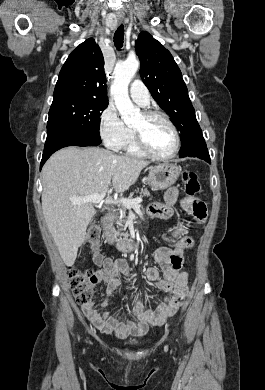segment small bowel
<instances>
[{
	"mask_svg": "<svg viewBox=\"0 0 265 390\" xmlns=\"http://www.w3.org/2000/svg\"><path fill=\"white\" fill-rule=\"evenodd\" d=\"M180 207L196 221L203 222L207 216L204 202L195 197H179V192L172 187L165 193V203H154L149 206L148 213L156 218L167 219L174 213V206ZM187 225L182 224L174 228L173 236L177 241L164 236L168 246L159 247L154 253V261L160 266H151L146 270L147 278L154 287L165 292L167 296L158 299L154 307L147 308L141 298L132 306L134 319H127L120 314L101 312L91 302L82 306L84 315L103 333L126 337L130 334L141 335L150 327L163 324L167 318L176 313L188 293L189 273L182 270L184 252L194 245V240L186 236ZM101 268L96 273L97 289L105 288V298L101 307L105 309L109 304L110 296L121 286V276L131 274V268L126 260L110 256H99L95 261ZM95 284V285H96Z\"/></svg>",
	"mask_w": 265,
	"mask_h": 390,
	"instance_id": "obj_1",
	"label": "small bowel"
}]
</instances>
